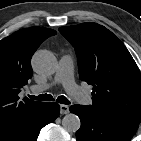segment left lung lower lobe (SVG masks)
Instances as JSON below:
<instances>
[{
  "label": "left lung lower lobe",
  "mask_w": 141,
  "mask_h": 141,
  "mask_svg": "<svg viewBox=\"0 0 141 141\" xmlns=\"http://www.w3.org/2000/svg\"><path fill=\"white\" fill-rule=\"evenodd\" d=\"M70 111L81 120L77 141H130L138 128L136 124L109 117L91 106L73 105Z\"/></svg>",
  "instance_id": "1"
}]
</instances>
